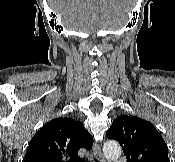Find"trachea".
Here are the masks:
<instances>
[{
    "label": "trachea",
    "instance_id": "1",
    "mask_svg": "<svg viewBox=\"0 0 175 162\" xmlns=\"http://www.w3.org/2000/svg\"><path fill=\"white\" fill-rule=\"evenodd\" d=\"M95 162H99V161L95 159Z\"/></svg>",
    "mask_w": 175,
    "mask_h": 162
}]
</instances>
